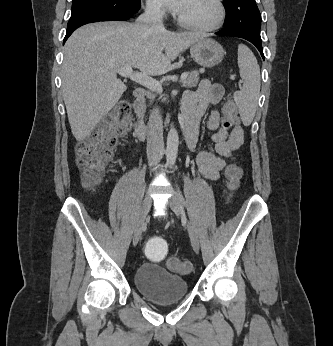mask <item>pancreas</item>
Here are the masks:
<instances>
[{
  "label": "pancreas",
  "mask_w": 333,
  "mask_h": 346,
  "mask_svg": "<svg viewBox=\"0 0 333 346\" xmlns=\"http://www.w3.org/2000/svg\"><path fill=\"white\" fill-rule=\"evenodd\" d=\"M188 78L183 82V86L186 88L196 87L199 82L198 71H191L187 73Z\"/></svg>",
  "instance_id": "pancreas-1"
}]
</instances>
